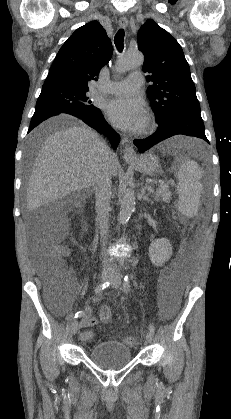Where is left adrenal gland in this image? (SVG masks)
<instances>
[{
  "label": "left adrenal gland",
  "instance_id": "obj_1",
  "mask_svg": "<svg viewBox=\"0 0 231 419\" xmlns=\"http://www.w3.org/2000/svg\"><path fill=\"white\" fill-rule=\"evenodd\" d=\"M139 197L141 199L147 201V202H150L151 204L153 203V201L148 197V195L145 194V188L144 187L141 188V193H140V196Z\"/></svg>",
  "mask_w": 231,
  "mask_h": 419
}]
</instances>
